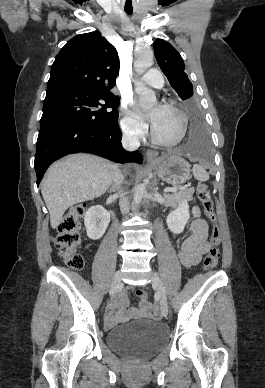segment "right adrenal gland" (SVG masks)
<instances>
[{
  "label": "right adrenal gland",
  "instance_id": "obj_1",
  "mask_svg": "<svg viewBox=\"0 0 265 388\" xmlns=\"http://www.w3.org/2000/svg\"><path fill=\"white\" fill-rule=\"evenodd\" d=\"M116 190H118V188H115V186H112V188H110L109 190V194H111V192H116Z\"/></svg>",
  "mask_w": 265,
  "mask_h": 388
}]
</instances>
